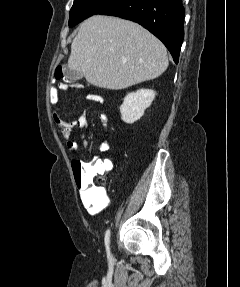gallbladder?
Segmentation results:
<instances>
[{
    "label": "gallbladder",
    "instance_id": "gallbladder-1",
    "mask_svg": "<svg viewBox=\"0 0 240 287\" xmlns=\"http://www.w3.org/2000/svg\"><path fill=\"white\" fill-rule=\"evenodd\" d=\"M65 78L69 81H78L83 78V73L76 70H71L69 67L64 69Z\"/></svg>",
    "mask_w": 240,
    "mask_h": 287
}]
</instances>
